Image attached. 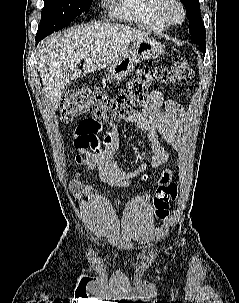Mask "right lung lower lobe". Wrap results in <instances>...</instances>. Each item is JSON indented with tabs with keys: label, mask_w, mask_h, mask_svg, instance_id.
Listing matches in <instances>:
<instances>
[{
	"label": "right lung lower lobe",
	"mask_w": 239,
	"mask_h": 303,
	"mask_svg": "<svg viewBox=\"0 0 239 303\" xmlns=\"http://www.w3.org/2000/svg\"><path fill=\"white\" fill-rule=\"evenodd\" d=\"M47 36V34L46 33H37L36 34V45L38 44V42L40 41V40H42L44 37H46Z\"/></svg>",
	"instance_id": "right-lung-lower-lobe-1"
}]
</instances>
